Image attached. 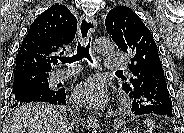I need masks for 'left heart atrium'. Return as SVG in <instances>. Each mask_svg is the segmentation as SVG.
Returning a JSON list of instances; mask_svg holds the SVG:
<instances>
[{
    "label": "left heart atrium",
    "mask_w": 184,
    "mask_h": 133,
    "mask_svg": "<svg viewBox=\"0 0 184 133\" xmlns=\"http://www.w3.org/2000/svg\"><path fill=\"white\" fill-rule=\"evenodd\" d=\"M76 104L89 107L101 108L108 100L103 83L98 79H88L80 83L73 94Z\"/></svg>",
    "instance_id": "39dd6f15"
}]
</instances>
